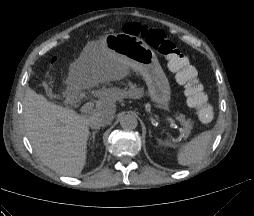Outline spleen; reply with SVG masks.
I'll return each mask as SVG.
<instances>
[{"label":"spleen","mask_w":254,"mask_h":216,"mask_svg":"<svg viewBox=\"0 0 254 216\" xmlns=\"http://www.w3.org/2000/svg\"><path fill=\"white\" fill-rule=\"evenodd\" d=\"M212 137V131H205L184 144L177 155L178 163L182 166H189L199 162L205 156Z\"/></svg>","instance_id":"obj_1"}]
</instances>
